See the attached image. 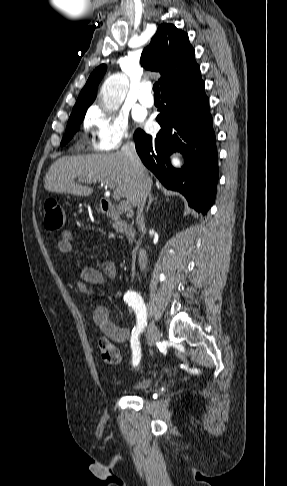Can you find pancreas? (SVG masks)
I'll use <instances>...</instances> for the list:
<instances>
[{
  "label": "pancreas",
  "instance_id": "pancreas-1",
  "mask_svg": "<svg viewBox=\"0 0 287 486\" xmlns=\"http://www.w3.org/2000/svg\"><path fill=\"white\" fill-rule=\"evenodd\" d=\"M113 227H114V228H115L117 231H119V232H123V227H122V225H121L120 223H118V222L114 223V224H113Z\"/></svg>",
  "mask_w": 287,
  "mask_h": 486
}]
</instances>
